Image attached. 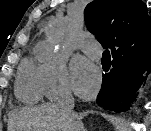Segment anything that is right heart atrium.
<instances>
[{"label":"right heart atrium","instance_id":"right-heart-atrium-1","mask_svg":"<svg viewBox=\"0 0 151 131\" xmlns=\"http://www.w3.org/2000/svg\"><path fill=\"white\" fill-rule=\"evenodd\" d=\"M39 72L44 95L50 99L69 96L71 93L66 57L57 52L41 56Z\"/></svg>","mask_w":151,"mask_h":131}]
</instances>
